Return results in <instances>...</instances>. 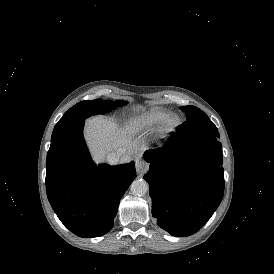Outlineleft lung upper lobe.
Here are the masks:
<instances>
[{
  "instance_id": "obj_1",
  "label": "left lung upper lobe",
  "mask_w": 274,
  "mask_h": 274,
  "mask_svg": "<svg viewBox=\"0 0 274 274\" xmlns=\"http://www.w3.org/2000/svg\"><path fill=\"white\" fill-rule=\"evenodd\" d=\"M181 109L187 114V121L179 128L178 134L219 136L216 126L202 110L195 106H183Z\"/></svg>"
}]
</instances>
